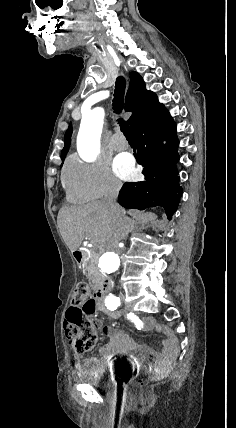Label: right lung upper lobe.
I'll return each mask as SVG.
<instances>
[{
  "instance_id": "cb5924a9",
  "label": "right lung upper lobe",
  "mask_w": 236,
  "mask_h": 428,
  "mask_svg": "<svg viewBox=\"0 0 236 428\" xmlns=\"http://www.w3.org/2000/svg\"><path fill=\"white\" fill-rule=\"evenodd\" d=\"M130 79L131 81L126 95L125 110L132 112V116L129 118L128 122L133 129L145 119H148L153 114L165 108L159 103L157 96L153 92L146 90L145 83L137 72H131ZM71 134L72 125L70 124L65 133V146L61 152L62 163L70 147Z\"/></svg>"
}]
</instances>
